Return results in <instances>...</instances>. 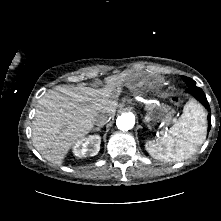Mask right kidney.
I'll return each instance as SVG.
<instances>
[{
    "label": "right kidney",
    "mask_w": 221,
    "mask_h": 221,
    "mask_svg": "<svg viewBox=\"0 0 221 221\" xmlns=\"http://www.w3.org/2000/svg\"><path fill=\"white\" fill-rule=\"evenodd\" d=\"M101 137L99 135H90L87 138L79 140L74 148L73 153L76 157L95 156L100 150Z\"/></svg>",
    "instance_id": "1"
}]
</instances>
